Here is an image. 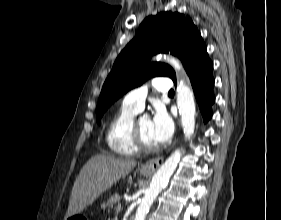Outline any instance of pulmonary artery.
I'll use <instances>...</instances> for the list:
<instances>
[{"label":"pulmonary artery","mask_w":281,"mask_h":220,"mask_svg":"<svg viewBox=\"0 0 281 220\" xmlns=\"http://www.w3.org/2000/svg\"><path fill=\"white\" fill-rule=\"evenodd\" d=\"M151 85L158 91L167 92L171 89L172 82L167 77H156L152 80ZM147 94L148 85H143L127 93L123 102L140 112L144 108Z\"/></svg>","instance_id":"1"}]
</instances>
